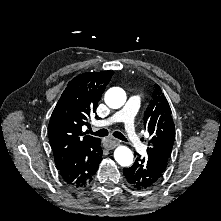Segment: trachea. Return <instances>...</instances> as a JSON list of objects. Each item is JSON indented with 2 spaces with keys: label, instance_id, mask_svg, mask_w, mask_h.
Masks as SVG:
<instances>
[{
  "label": "trachea",
  "instance_id": "1",
  "mask_svg": "<svg viewBox=\"0 0 221 221\" xmlns=\"http://www.w3.org/2000/svg\"><path fill=\"white\" fill-rule=\"evenodd\" d=\"M87 132L92 134V135L99 136V137H104V136L108 135V131L106 129H101L97 132H93L92 130H88ZM113 136L120 139V140H122V141L127 142V139L125 138V136L120 132H117V131L114 132Z\"/></svg>",
  "mask_w": 221,
  "mask_h": 221
}]
</instances>
